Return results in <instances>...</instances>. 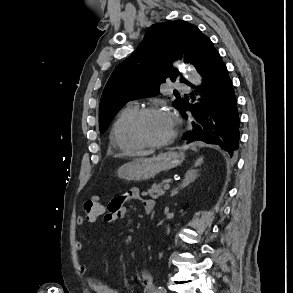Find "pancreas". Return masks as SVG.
I'll list each match as a JSON object with an SVG mask.
<instances>
[{
  "mask_svg": "<svg viewBox=\"0 0 293 293\" xmlns=\"http://www.w3.org/2000/svg\"><path fill=\"white\" fill-rule=\"evenodd\" d=\"M166 182L167 181H163L162 183H159V184H153L151 188L147 190V192H142V195L143 196L149 195L153 199H157L160 196H163L165 193L163 187L165 186Z\"/></svg>",
  "mask_w": 293,
  "mask_h": 293,
  "instance_id": "1",
  "label": "pancreas"
}]
</instances>
